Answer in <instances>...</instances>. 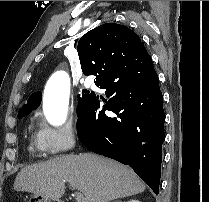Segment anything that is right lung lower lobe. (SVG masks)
Instances as JSON below:
<instances>
[{
  "label": "right lung lower lobe",
  "instance_id": "98d812e1",
  "mask_svg": "<svg viewBox=\"0 0 209 202\" xmlns=\"http://www.w3.org/2000/svg\"><path fill=\"white\" fill-rule=\"evenodd\" d=\"M142 61L144 72L129 76L123 86L112 80L99 85L111 98L99 111L100 101L92 95L78 116L77 134L94 153L132 167L158 194L165 140L163 96L152 59L144 56Z\"/></svg>",
  "mask_w": 209,
  "mask_h": 202
}]
</instances>
